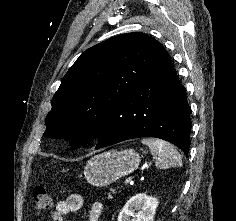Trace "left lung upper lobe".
Returning <instances> with one entry per match:
<instances>
[{"instance_id":"obj_1","label":"left lung upper lobe","mask_w":236,"mask_h":221,"mask_svg":"<svg viewBox=\"0 0 236 221\" xmlns=\"http://www.w3.org/2000/svg\"><path fill=\"white\" fill-rule=\"evenodd\" d=\"M164 50L141 32L115 36L87 49L65 74L51 101L44 136L64 138L73 147L98 137Z\"/></svg>"}]
</instances>
